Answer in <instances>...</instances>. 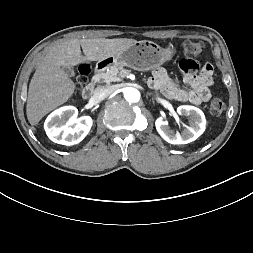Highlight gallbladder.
Listing matches in <instances>:
<instances>
[{"mask_svg":"<svg viewBox=\"0 0 253 253\" xmlns=\"http://www.w3.org/2000/svg\"><path fill=\"white\" fill-rule=\"evenodd\" d=\"M63 70L65 71V73L69 76H74V71L70 68V67H64Z\"/></svg>","mask_w":253,"mask_h":253,"instance_id":"1","label":"gallbladder"}]
</instances>
